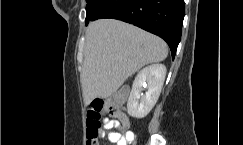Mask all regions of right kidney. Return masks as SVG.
Segmentation results:
<instances>
[{
	"mask_svg": "<svg viewBox=\"0 0 243 145\" xmlns=\"http://www.w3.org/2000/svg\"><path fill=\"white\" fill-rule=\"evenodd\" d=\"M166 76L163 64H153L143 68L135 77L127 102L128 114L144 118L156 104ZM146 88L145 94L142 93Z\"/></svg>",
	"mask_w": 243,
	"mask_h": 145,
	"instance_id": "obj_1",
	"label": "right kidney"
}]
</instances>
